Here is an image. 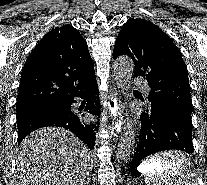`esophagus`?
I'll return each mask as SVG.
<instances>
[{
    "mask_svg": "<svg viewBox=\"0 0 207 185\" xmlns=\"http://www.w3.org/2000/svg\"><path fill=\"white\" fill-rule=\"evenodd\" d=\"M108 111H111L112 123L114 125L112 136L117 138V136H121L120 128H124V119L123 114H120V110H118L116 100H113L111 106H108Z\"/></svg>",
    "mask_w": 207,
    "mask_h": 185,
    "instance_id": "1",
    "label": "esophagus"
}]
</instances>
